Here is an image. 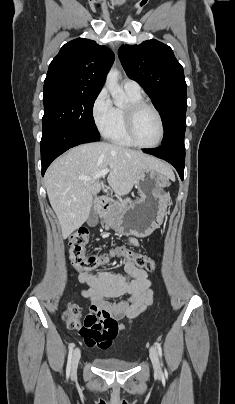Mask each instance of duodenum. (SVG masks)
<instances>
[{"instance_id":"obj_1","label":"duodenum","mask_w":235,"mask_h":404,"mask_svg":"<svg viewBox=\"0 0 235 404\" xmlns=\"http://www.w3.org/2000/svg\"><path fill=\"white\" fill-rule=\"evenodd\" d=\"M97 207L101 215H109L112 213L113 204L107 198L97 200Z\"/></svg>"}]
</instances>
